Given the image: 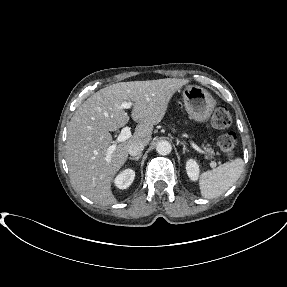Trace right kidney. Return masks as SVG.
Instances as JSON below:
<instances>
[{
    "label": "right kidney",
    "mask_w": 287,
    "mask_h": 287,
    "mask_svg": "<svg viewBox=\"0 0 287 287\" xmlns=\"http://www.w3.org/2000/svg\"><path fill=\"white\" fill-rule=\"evenodd\" d=\"M135 178V171L132 169H125L115 178V185L119 189L128 188Z\"/></svg>",
    "instance_id": "obj_1"
}]
</instances>
